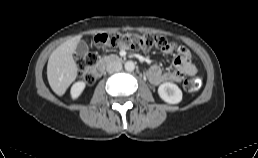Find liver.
Here are the masks:
<instances>
[{"label":"liver","mask_w":258,"mask_h":158,"mask_svg":"<svg viewBox=\"0 0 258 158\" xmlns=\"http://www.w3.org/2000/svg\"><path fill=\"white\" fill-rule=\"evenodd\" d=\"M82 36L77 35L58 46L50 55L47 78L51 89L62 96L77 77V65L73 53Z\"/></svg>","instance_id":"1"}]
</instances>
